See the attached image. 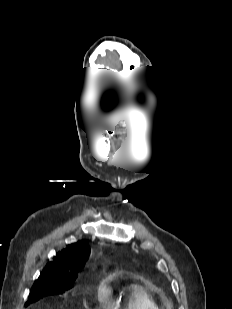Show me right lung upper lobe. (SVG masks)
<instances>
[{"label": "right lung upper lobe", "instance_id": "1", "mask_svg": "<svg viewBox=\"0 0 232 309\" xmlns=\"http://www.w3.org/2000/svg\"><path fill=\"white\" fill-rule=\"evenodd\" d=\"M89 253L90 248L85 240L68 245L53 257V261L46 265L36 281H74L77 272L85 265Z\"/></svg>", "mask_w": 232, "mask_h": 309}]
</instances>
